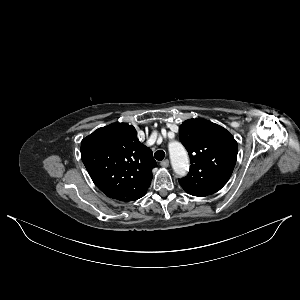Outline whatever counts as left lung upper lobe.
<instances>
[{"label": "left lung upper lobe", "mask_w": 300, "mask_h": 300, "mask_svg": "<svg viewBox=\"0 0 300 300\" xmlns=\"http://www.w3.org/2000/svg\"><path fill=\"white\" fill-rule=\"evenodd\" d=\"M191 166L179 179L190 195L204 197L219 191L229 180L237 159V142L225 128L204 119H189L179 127Z\"/></svg>", "instance_id": "1"}]
</instances>
